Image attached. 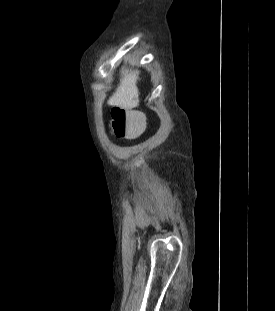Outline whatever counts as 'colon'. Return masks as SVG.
<instances>
[{
	"label": "colon",
	"instance_id": "colon-1",
	"mask_svg": "<svg viewBox=\"0 0 275 311\" xmlns=\"http://www.w3.org/2000/svg\"><path fill=\"white\" fill-rule=\"evenodd\" d=\"M112 134L118 139L130 138L140 134L145 126V117L140 113L114 109L111 113Z\"/></svg>",
	"mask_w": 275,
	"mask_h": 311
}]
</instances>
